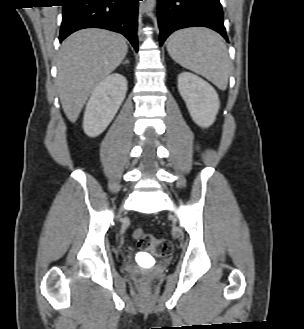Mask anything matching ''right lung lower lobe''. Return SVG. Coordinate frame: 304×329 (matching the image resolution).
Wrapping results in <instances>:
<instances>
[{
  "label": "right lung lower lobe",
  "mask_w": 304,
  "mask_h": 329,
  "mask_svg": "<svg viewBox=\"0 0 304 329\" xmlns=\"http://www.w3.org/2000/svg\"><path fill=\"white\" fill-rule=\"evenodd\" d=\"M59 41L90 27L123 34L138 51L137 16L141 0H65Z\"/></svg>",
  "instance_id": "1"
}]
</instances>
